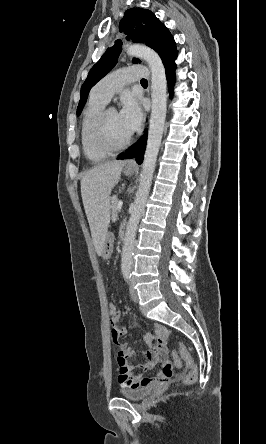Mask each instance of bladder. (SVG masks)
<instances>
[{"label":"bladder","instance_id":"31cf9c89","mask_svg":"<svg viewBox=\"0 0 266 444\" xmlns=\"http://www.w3.org/2000/svg\"><path fill=\"white\" fill-rule=\"evenodd\" d=\"M154 389L153 385L143 386L139 388H130L121 390V395L129 400L140 401L145 399Z\"/></svg>","mask_w":266,"mask_h":444}]
</instances>
